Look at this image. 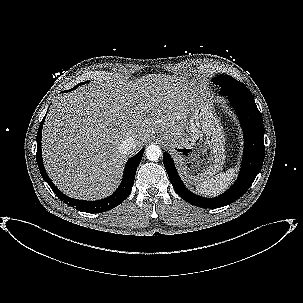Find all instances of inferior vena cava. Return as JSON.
Returning <instances> with one entry per match:
<instances>
[{
    "label": "inferior vena cava",
    "mask_w": 303,
    "mask_h": 303,
    "mask_svg": "<svg viewBox=\"0 0 303 303\" xmlns=\"http://www.w3.org/2000/svg\"><path fill=\"white\" fill-rule=\"evenodd\" d=\"M135 148L136 143L132 137L125 138L119 145V151L123 154H130Z\"/></svg>",
    "instance_id": "inferior-vena-cava-1"
}]
</instances>
